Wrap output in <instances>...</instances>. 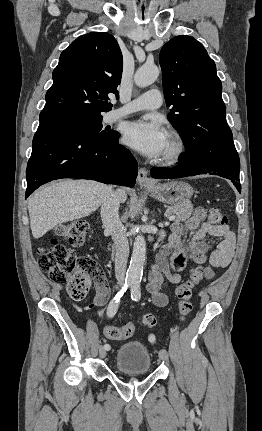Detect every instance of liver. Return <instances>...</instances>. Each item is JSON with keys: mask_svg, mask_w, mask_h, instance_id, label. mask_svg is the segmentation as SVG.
Segmentation results:
<instances>
[{"mask_svg": "<svg viewBox=\"0 0 262 431\" xmlns=\"http://www.w3.org/2000/svg\"><path fill=\"white\" fill-rule=\"evenodd\" d=\"M110 189L92 180H63L37 191L28 200L33 237L41 238L58 224L89 216ZM119 198L126 201L124 190H119Z\"/></svg>", "mask_w": 262, "mask_h": 431, "instance_id": "6515ba94", "label": "liver"}]
</instances>
